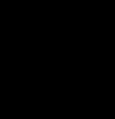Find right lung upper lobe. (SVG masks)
I'll list each match as a JSON object with an SVG mask.
<instances>
[{
	"label": "right lung upper lobe",
	"instance_id": "obj_1",
	"mask_svg": "<svg viewBox=\"0 0 115 119\" xmlns=\"http://www.w3.org/2000/svg\"><path fill=\"white\" fill-rule=\"evenodd\" d=\"M59 9L36 6L11 30L0 45V69L27 60L40 59L46 34Z\"/></svg>",
	"mask_w": 115,
	"mask_h": 119
}]
</instances>
